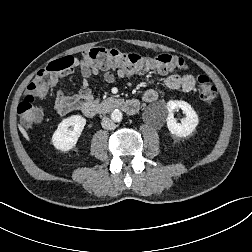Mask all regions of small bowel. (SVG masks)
Segmentation results:
<instances>
[{
  "label": "small bowel",
  "instance_id": "c3829d8e",
  "mask_svg": "<svg viewBox=\"0 0 252 252\" xmlns=\"http://www.w3.org/2000/svg\"><path fill=\"white\" fill-rule=\"evenodd\" d=\"M78 73L82 83L75 95H66L62 90H57L55 95L54 108L60 115H66L74 110L82 109L88 102H95L96 97L89 86L92 77L100 74L99 68L89 65L84 60L73 59V65L62 75ZM134 75V72L118 70L117 75L112 71L106 70L103 73V79L109 84L115 83L117 78L125 79ZM195 78L191 74L178 75L168 73L164 76V84L170 90H183L191 92L195 88ZM158 99V93L154 89H148L143 94V100L146 103H152Z\"/></svg>",
  "mask_w": 252,
  "mask_h": 252
}]
</instances>
